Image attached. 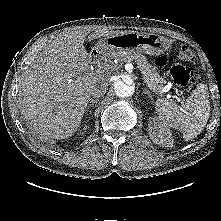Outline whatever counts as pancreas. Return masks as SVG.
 <instances>
[{
  "mask_svg": "<svg viewBox=\"0 0 221 221\" xmlns=\"http://www.w3.org/2000/svg\"><path fill=\"white\" fill-rule=\"evenodd\" d=\"M113 58H116L120 63L135 62L137 68L143 75V80L146 85L154 92L161 93L165 79L160 77L159 73L147 61L146 56L142 54H131L127 52L114 53Z\"/></svg>",
  "mask_w": 221,
  "mask_h": 221,
  "instance_id": "pancreas-1",
  "label": "pancreas"
}]
</instances>
